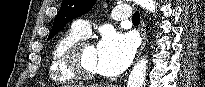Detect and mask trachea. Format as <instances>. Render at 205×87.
I'll use <instances>...</instances> for the list:
<instances>
[{
    "instance_id": "trachea-1",
    "label": "trachea",
    "mask_w": 205,
    "mask_h": 87,
    "mask_svg": "<svg viewBox=\"0 0 205 87\" xmlns=\"http://www.w3.org/2000/svg\"><path fill=\"white\" fill-rule=\"evenodd\" d=\"M132 21H133V22H137V23L140 22V14H139V12H135V13L133 14V16H132Z\"/></svg>"
}]
</instances>
